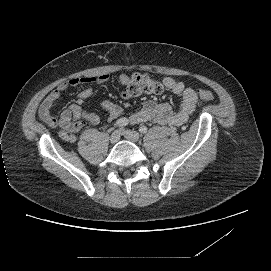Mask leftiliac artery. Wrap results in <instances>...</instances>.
<instances>
[{
	"instance_id": "44dca946",
	"label": "left iliac artery",
	"mask_w": 271,
	"mask_h": 271,
	"mask_svg": "<svg viewBox=\"0 0 271 271\" xmlns=\"http://www.w3.org/2000/svg\"><path fill=\"white\" fill-rule=\"evenodd\" d=\"M147 127L146 126H141L140 128H139V132L140 133H142V134H145V133H147Z\"/></svg>"
}]
</instances>
